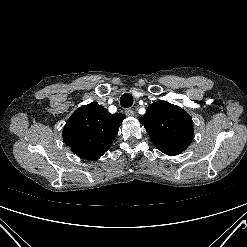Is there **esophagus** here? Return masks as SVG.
<instances>
[{
    "label": "esophagus",
    "instance_id": "esophagus-1",
    "mask_svg": "<svg viewBox=\"0 0 247 247\" xmlns=\"http://www.w3.org/2000/svg\"><path fill=\"white\" fill-rule=\"evenodd\" d=\"M125 114H126L127 116H134V111H133L132 109H126V110H125Z\"/></svg>",
    "mask_w": 247,
    "mask_h": 247
}]
</instances>
